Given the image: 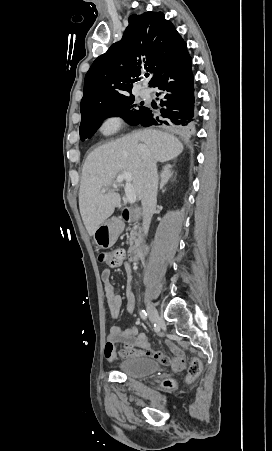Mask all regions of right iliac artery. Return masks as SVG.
Returning <instances> with one entry per match:
<instances>
[{
  "label": "right iliac artery",
  "mask_w": 272,
  "mask_h": 451,
  "mask_svg": "<svg viewBox=\"0 0 272 451\" xmlns=\"http://www.w3.org/2000/svg\"><path fill=\"white\" fill-rule=\"evenodd\" d=\"M140 316H141V318H142L143 320H146V319H147V313H146V311H145V310H141V311H140Z\"/></svg>",
  "instance_id": "right-iliac-artery-1"
}]
</instances>
